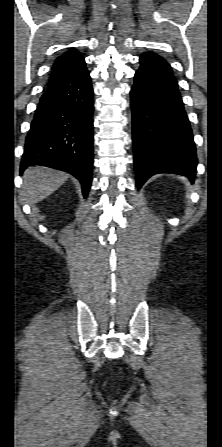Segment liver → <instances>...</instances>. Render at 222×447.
I'll return each mask as SVG.
<instances>
[{
    "instance_id": "obj_1",
    "label": "liver",
    "mask_w": 222,
    "mask_h": 447,
    "mask_svg": "<svg viewBox=\"0 0 222 447\" xmlns=\"http://www.w3.org/2000/svg\"><path fill=\"white\" fill-rule=\"evenodd\" d=\"M68 174L42 166L27 168L23 175L22 195L30 205L38 203L56 191Z\"/></svg>"
}]
</instances>
